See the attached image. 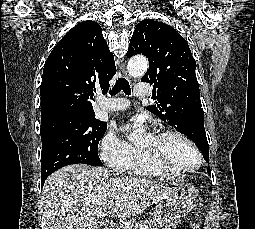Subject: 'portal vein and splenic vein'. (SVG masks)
<instances>
[{"label": "portal vein and splenic vein", "instance_id": "18ae733b", "mask_svg": "<svg viewBox=\"0 0 255 229\" xmlns=\"http://www.w3.org/2000/svg\"><path fill=\"white\" fill-rule=\"evenodd\" d=\"M114 198H115V200H118V199H119V196H115ZM145 229H146V226H145Z\"/></svg>", "mask_w": 255, "mask_h": 229}]
</instances>
